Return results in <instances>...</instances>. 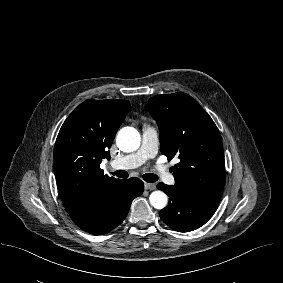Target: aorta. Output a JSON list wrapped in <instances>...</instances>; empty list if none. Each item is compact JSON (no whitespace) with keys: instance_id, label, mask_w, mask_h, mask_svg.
<instances>
[{"instance_id":"aorta-1","label":"aorta","mask_w":283,"mask_h":283,"mask_svg":"<svg viewBox=\"0 0 283 283\" xmlns=\"http://www.w3.org/2000/svg\"><path fill=\"white\" fill-rule=\"evenodd\" d=\"M140 134L133 127L122 128L116 138V144L123 152H134L140 146ZM150 204L156 209H163L168 203L167 195L160 191H153L149 196Z\"/></svg>"}]
</instances>
